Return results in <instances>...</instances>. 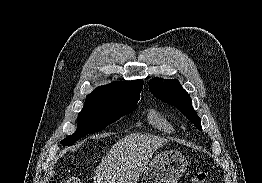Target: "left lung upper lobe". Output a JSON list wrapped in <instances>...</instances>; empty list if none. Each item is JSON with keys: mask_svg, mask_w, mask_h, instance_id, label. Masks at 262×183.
I'll return each instance as SVG.
<instances>
[{"mask_svg": "<svg viewBox=\"0 0 262 183\" xmlns=\"http://www.w3.org/2000/svg\"><path fill=\"white\" fill-rule=\"evenodd\" d=\"M151 93L163 102L176 107L182 112L199 130L201 120L192 107L189 94L182 88L178 80L154 78L149 82Z\"/></svg>", "mask_w": 262, "mask_h": 183, "instance_id": "left-lung-upper-lobe-1", "label": "left lung upper lobe"}]
</instances>
